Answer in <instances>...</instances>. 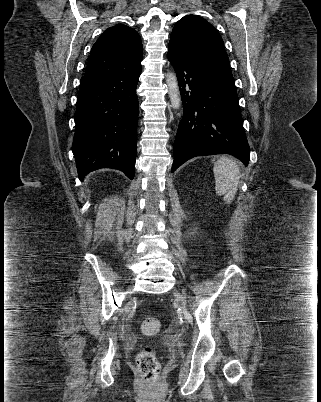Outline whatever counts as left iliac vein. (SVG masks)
I'll return each instance as SVG.
<instances>
[{"mask_svg": "<svg viewBox=\"0 0 321 402\" xmlns=\"http://www.w3.org/2000/svg\"><path fill=\"white\" fill-rule=\"evenodd\" d=\"M175 296H176L177 300H179L182 303V305L185 307L186 302H185L184 296L181 293H175Z\"/></svg>", "mask_w": 321, "mask_h": 402, "instance_id": "4c4485c4", "label": "left iliac vein"}]
</instances>
